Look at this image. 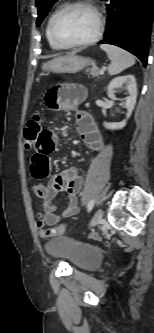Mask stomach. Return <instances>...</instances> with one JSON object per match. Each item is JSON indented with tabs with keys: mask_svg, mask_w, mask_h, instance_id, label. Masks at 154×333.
Segmentation results:
<instances>
[{
	"mask_svg": "<svg viewBox=\"0 0 154 333\" xmlns=\"http://www.w3.org/2000/svg\"><path fill=\"white\" fill-rule=\"evenodd\" d=\"M95 61L89 57H82L75 54L57 57L42 65V70L53 73H77Z\"/></svg>",
	"mask_w": 154,
	"mask_h": 333,
	"instance_id": "1",
	"label": "stomach"
}]
</instances>
